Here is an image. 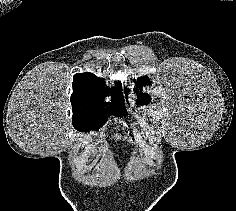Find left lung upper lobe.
I'll list each match as a JSON object with an SVG mask.
<instances>
[{"mask_svg": "<svg viewBox=\"0 0 236 211\" xmlns=\"http://www.w3.org/2000/svg\"><path fill=\"white\" fill-rule=\"evenodd\" d=\"M146 84H150V83H149V78H148L147 76L140 77V78L137 79V81H136V86H137V88H136L135 90H138V87L141 88L143 85H146ZM137 95H138V93H137ZM149 101H150V98H149V95H148V94H141V95H139V97L137 98V103H139L140 105L149 103Z\"/></svg>", "mask_w": 236, "mask_h": 211, "instance_id": "left-lung-upper-lobe-1", "label": "left lung upper lobe"}]
</instances>
